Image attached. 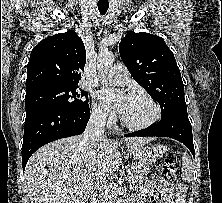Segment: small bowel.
<instances>
[{"mask_svg":"<svg viewBox=\"0 0 222 203\" xmlns=\"http://www.w3.org/2000/svg\"><path fill=\"white\" fill-rule=\"evenodd\" d=\"M150 203H184V188L180 185H170L160 179H151L136 203H143L144 196Z\"/></svg>","mask_w":222,"mask_h":203,"instance_id":"1","label":"small bowel"}]
</instances>
